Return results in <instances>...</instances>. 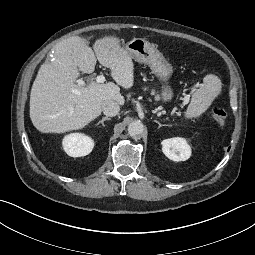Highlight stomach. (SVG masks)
Segmentation results:
<instances>
[{
	"label": "stomach",
	"mask_w": 255,
	"mask_h": 255,
	"mask_svg": "<svg viewBox=\"0 0 255 255\" xmlns=\"http://www.w3.org/2000/svg\"><path fill=\"white\" fill-rule=\"evenodd\" d=\"M125 49L133 59L150 67L154 75L162 82L160 98L163 102L170 101L173 90L168 81L172 76L173 67L163 54L144 38H133L126 44Z\"/></svg>",
	"instance_id": "1"
}]
</instances>
